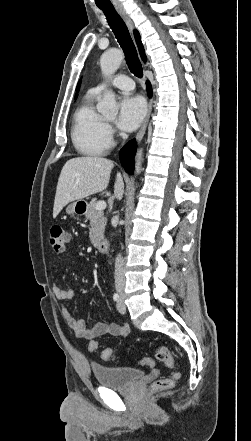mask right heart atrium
I'll use <instances>...</instances> for the list:
<instances>
[{
	"label": "right heart atrium",
	"mask_w": 251,
	"mask_h": 441,
	"mask_svg": "<svg viewBox=\"0 0 251 441\" xmlns=\"http://www.w3.org/2000/svg\"><path fill=\"white\" fill-rule=\"evenodd\" d=\"M106 131H107L108 136L111 138V136L114 134L113 128L110 125H107Z\"/></svg>",
	"instance_id": "1"
}]
</instances>
